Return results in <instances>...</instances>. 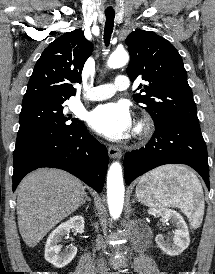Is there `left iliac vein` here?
Segmentation results:
<instances>
[{
    "mask_svg": "<svg viewBox=\"0 0 215 274\" xmlns=\"http://www.w3.org/2000/svg\"><path fill=\"white\" fill-rule=\"evenodd\" d=\"M106 274H117V273H106Z\"/></svg>",
    "mask_w": 215,
    "mask_h": 274,
    "instance_id": "obj_1",
    "label": "left iliac vein"
}]
</instances>
